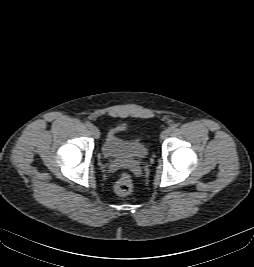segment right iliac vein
Wrapping results in <instances>:
<instances>
[{
	"instance_id": "1",
	"label": "right iliac vein",
	"mask_w": 254,
	"mask_h": 267,
	"mask_svg": "<svg viewBox=\"0 0 254 267\" xmlns=\"http://www.w3.org/2000/svg\"><path fill=\"white\" fill-rule=\"evenodd\" d=\"M90 132H91V134L93 135V137H95V138H99V136H100V131H99V129H98L96 126H91V127H90Z\"/></svg>"
}]
</instances>
